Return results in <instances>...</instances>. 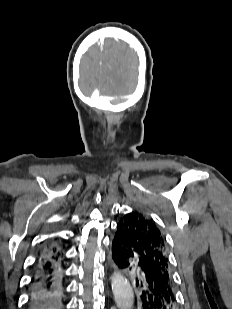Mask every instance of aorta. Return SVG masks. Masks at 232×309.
Returning a JSON list of instances; mask_svg holds the SVG:
<instances>
[{
    "label": "aorta",
    "instance_id": "1",
    "mask_svg": "<svg viewBox=\"0 0 232 309\" xmlns=\"http://www.w3.org/2000/svg\"><path fill=\"white\" fill-rule=\"evenodd\" d=\"M112 291L119 309H132L134 305V293L129 282L119 273H115L111 279Z\"/></svg>",
    "mask_w": 232,
    "mask_h": 309
}]
</instances>
